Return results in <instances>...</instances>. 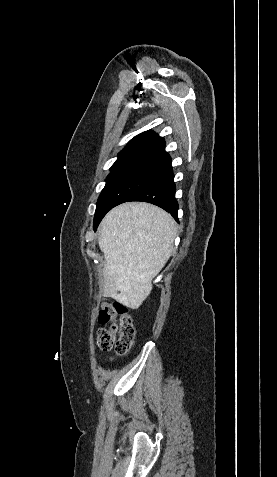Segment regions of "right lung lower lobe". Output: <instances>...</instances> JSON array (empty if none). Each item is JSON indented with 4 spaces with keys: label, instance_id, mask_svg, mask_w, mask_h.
<instances>
[{
    "label": "right lung lower lobe",
    "instance_id": "obj_1",
    "mask_svg": "<svg viewBox=\"0 0 277 477\" xmlns=\"http://www.w3.org/2000/svg\"><path fill=\"white\" fill-rule=\"evenodd\" d=\"M176 187L171 162L161 168L157 176L141 191L135 194L129 201H143L157 205L176 220L178 203L175 198Z\"/></svg>",
    "mask_w": 277,
    "mask_h": 477
}]
</instances>
